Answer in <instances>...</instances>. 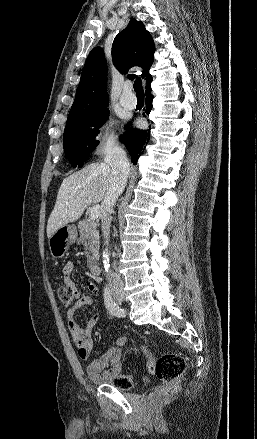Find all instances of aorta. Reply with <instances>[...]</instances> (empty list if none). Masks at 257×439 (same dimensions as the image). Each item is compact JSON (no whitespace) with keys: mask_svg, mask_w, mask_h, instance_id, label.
Segmentation results:
<instances>
[{"mask_svg":"<svg viewBox=\"0 0 257 439\" xmlns=\"http://www.w3.org/2000/svg\"><path fill=\"white\" fill-rule=\"evenodd\" d=\"M102 259H103V265H104V269L105 272H109V267H110V252L108 251V249H105L102 253Z\"/></svg>","mask_w":257,"mask_h":439,"instance_id":"1","label":"aorta"}]
</instances>
